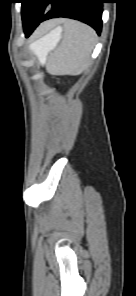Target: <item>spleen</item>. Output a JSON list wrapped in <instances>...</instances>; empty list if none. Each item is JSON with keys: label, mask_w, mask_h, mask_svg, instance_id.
I'll return each mask as SVG.
<instances>
[{"label": "spleen", "mask_w": 136, "mask_h": 296, "mask_svg": "<svg viewBox=\"0 0 136 296\" xmlns=\"http://www.w3.org/2000/svg\"><path fill=\"white\" fill-rule=\"evenodd\" d=\"M61 33V27H57L51 32V36L56 37L57 43L61 39ZM95 42L96 33L91 27L77 21H69L62 43L55 57L49 63V72L59 75H80L90 62ZM32 50L39 58L40 63L45 64L46 56L42 47H32Z\"/></svg>", "instance_id": "spleen-1"}]
</instances>
